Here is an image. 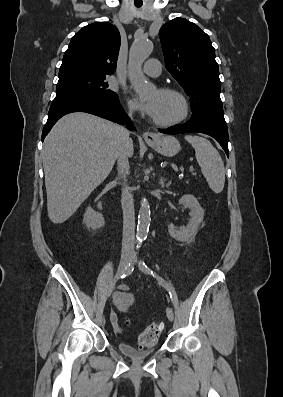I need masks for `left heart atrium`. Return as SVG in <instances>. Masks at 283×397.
<instances>
[{
	"mask_svg": "<svg viewBox=\"0 0 283 397\" xmlns=\"http://www.w3.org/2000/svg\"><path fill=\"white\" fill-rule=\"evenodd\" d=\"M136 105L143 112L147 113L150 116H153L155 112V102L153 100L140 101L136 99Z\"/></svg>",
	"mask_w": 283,
	"mask_h": 397,
	"instance_id": "1",
	"label": "left heart atrium"
}]
</instances>
